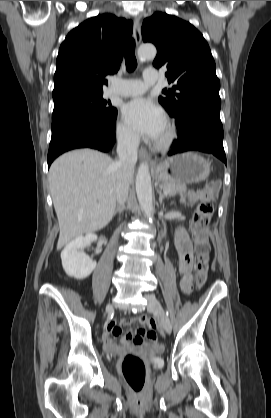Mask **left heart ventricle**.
I'll list each match as a JSON object with an SVG mask.
<instances>
[{"mask_svg": "<svg viewBox=\"0 0 271 418\" xmlns=\"http://www.w3.org/2000/svg\"><path fill=\"white\" fill-rule=\"evenodd\" d=\"M165 134H166V127H165V129L163 130V132L161 133V135L158 137V139L163 138V137L165 136ZM158 139H157V140H158Z\"/></svg>", "mask_w": 271, "mask_h": 418, "instance_id": "left-heart-ventricle-1", "label": "left heart ventricle"}]
</instances>
